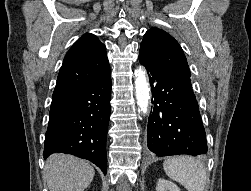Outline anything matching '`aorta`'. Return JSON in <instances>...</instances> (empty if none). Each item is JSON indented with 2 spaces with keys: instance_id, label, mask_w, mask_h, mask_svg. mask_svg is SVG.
Returning <instances> with one entry per match:
<instances>
[{
  "instance_id": "762f6f07",
  "label": "aorta",
  "mask_w": 251,
  "mask_h": 191,
  "mask_svg": "<svg viewBox=\"0 0 251 191\" xmlns=\"http://www.w3.org/2000/svg\"><path fill=\"white\" fill-rule=\"evenodd\" d=\"M135 78V97L137 99V105H139L142 113H147L148 103L150 99V88L146 80V72L143 68H138L134 72Z\"/></svg>"
}]
</instances>
